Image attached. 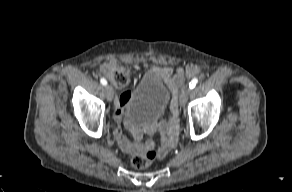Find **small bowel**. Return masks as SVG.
<instances>
[{
	"mask_svg": "<svg viewBox=\"0 0 292 192\" xmlns=\"http://www.w3.org/2000/svg\"><path fill=\"white\" fill-rule=\"evenodd\" d=\"M145 67L155 76L164 80L173 91L183 83L185 75L187 77H192L199 72V68L193 64H189L185 68L178 67L175 72L171 67H149L147 64H145ZM129 94L130 92L128 91L123 92L118 96L115 102L114 119L117 127L114 131V135L120 148L129 154L142 155L146 152L155 150L158 156H164L176 143L177 125L175 117L178 112L176 101H173L171 105L173 119L162 122L157 126H147L144 129H138L134 123L128 119L126 124L133 136V141H130L120 126L123 109L127 103ZM156 132L161 136V143L157 149H155V145L152 141L142 142L145 134L151 135Z\"/></svg>",
	"mask_w": 292,
	"mask_h": 192,
	"instance_id": "small-bowel-1",
	"label": "small bowel"
}]
</instances>
